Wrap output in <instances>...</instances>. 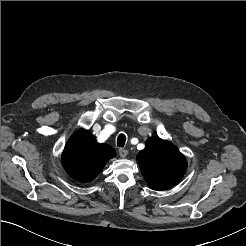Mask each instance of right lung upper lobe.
Masks as SVG:
<instances>
[{
  "label": "right lung upper lobe",
  "instance_id": "right-lung-upper-lobe-1",
  "mask_svg": "<svg viewBox=\"0 0 246 246\" xmlns=\"http://www.w3.org/2000/svg\"><path fill=\"white\" fill-rule=\"evenodd\" d=\"M115 155L111 146L99 144L89 131L79 130L68 140L62 154V164L70 177L80 182H90Z\"/></svg>",
  "mask_w": 246,
  "mask_h": 246
}]
</instances>
